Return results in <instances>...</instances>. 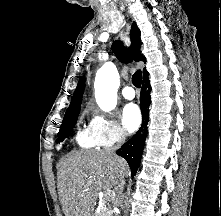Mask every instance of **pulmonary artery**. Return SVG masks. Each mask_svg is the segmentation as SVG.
<instances>
[{
  "instance_id": "obj_1",
  "label": "pulmonary artery",
  "mask_w": 221,
  "mask_h": 216,
  "mask_svg": "<svg viewBox=\"0 0 221 216\" xmlns=\"http://www.w3.org/2000/svg\"><path fill=\"white\" fill-rule=\"evenodd\" d=\"M122 95L125 99L132 100L135 98V90L131 86H125L122 89Z\"/></svg>"
}]
</instances>
